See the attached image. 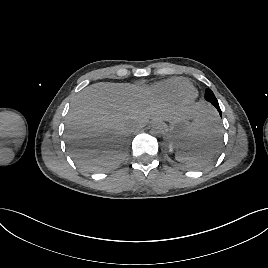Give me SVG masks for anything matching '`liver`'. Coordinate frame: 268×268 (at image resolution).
<instances>
[{
  "label": "liver",
  "instance_id": "liver-1",
  "mask_svg": "<svg viewBox=\"0 0 268 268\" xmlns=\"http://www.w3.org/2000/svg\"><path fill=\"white\" fill-rule=\"evenodd\" d=\"M213 110L197 103L188 114L199 120ZM181 113L170 103L130 84L100 82L75 95L66 116L65 138L82 168L102 171L122 159L132 130L153 121H170Z\"/></svg>",
  "mask_w": 268,
  "mask_h": 268
}]
</instances>
